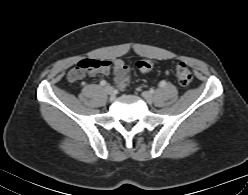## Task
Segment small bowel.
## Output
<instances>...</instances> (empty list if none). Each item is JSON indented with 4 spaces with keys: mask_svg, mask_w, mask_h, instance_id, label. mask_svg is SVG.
<instances>
[{
    "mask_svg": "<svg viewBox=\"0 0 248 195\" xmlns=\"http://www.w3.org/2000/svg\"><path fill=\"white\" fill-rule=\"evenodd\" d=\"M93 69L88 73L90 76L97 74H107L113 70L114 84L119 86V81L124 76L128 75V66L121 59H91Z\"/></svg>",
    "mask_w": 248,
    "mask_h": 195,
    "instance_id": "1",
    "label": "small bowel"
}]
</instances>
